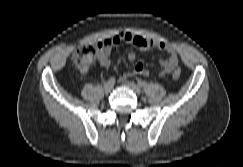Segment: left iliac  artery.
Listing matches in <instances>:
<instances>
[{
	"mask_svg": "<svg viewBox=\"0 0 243 167\" xmlns=\"http://www.w3.org/2000/svg\"><path fill=\"white\" fill-rule=\"evenodd\" d=\"M138 85L141 87H145L146 86V82L145 81H138Z\"/></svg>",
	"mask_w": 243,
	"mask_h": 167,
	"instance_id": "obj_1",
	"label": "left iliac artery"
}]
</instances>
